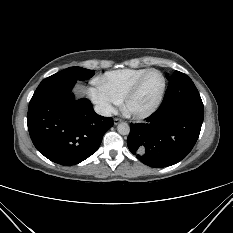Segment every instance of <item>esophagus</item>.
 Masks as SVG:
<instances>
[{"label": "esophagus", "mask_w": 233, "mask_h": 233, "mask_svg": "<svg viewBox=\"0 0 233 233\" xmlns=\"http://www.w3.org/2000/svg\"><path fill=\"white\" fill-rule=\"evenodd\" d=\"M121 122V119L119 118H114V124L117 125Z\"/></svg>", "instance_id": "esophagus-1"}]
</instances>
